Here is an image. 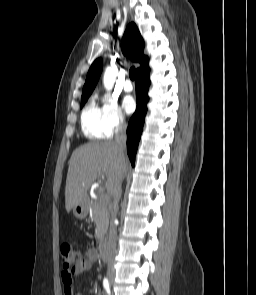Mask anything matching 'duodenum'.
I'll return each mask as SVG.
<instances>
[{"instance_id":"410a0bca","label":"duodenum","mask_w":256,"mask_h":295,"mask_svg":"<svg viewBox=\"0 0 256 295\" xmlns=\"http://www.w3.org/2000/svg\"><path fill=\"white\" fill-rule=\"evenodd\" d=\"M98 251H99L100 258L103 261H106L108 259V257H109V254H108V250H107L104 243L99 244Z\"/></svg>"}]
</instances>
